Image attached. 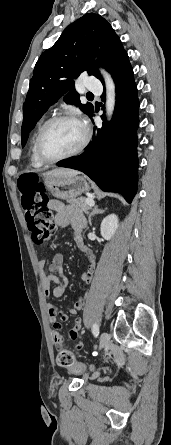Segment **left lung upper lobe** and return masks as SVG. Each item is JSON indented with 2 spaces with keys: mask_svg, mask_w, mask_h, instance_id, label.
I'll list each match as a JSON object with an SVG mask.
<instances>
[{
  "mask_svg": "<svg viewBox=\"0 0 171 445\" xmlns=\"http://www.w3.org/2000/svg\"><path fill=\"white\" fill-rule=\"evenodd\" d=\"M127 63L128 55L120 38L99 14L89 13L73 22L35 65L23 105L22 147L44 112L67 91L64 101L91 115L93 105L81 104L74 89V79L82 72L87 70L104 83L97 66L104 67L113 76Z\"/></svg>",
  "mask_w": 171,
  "mask_h": 445,
  "instance_id": "5c2ea615",
  "label": "left lung upper lobe"
}]
</instances>
